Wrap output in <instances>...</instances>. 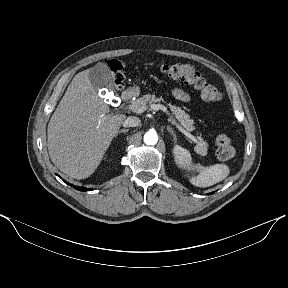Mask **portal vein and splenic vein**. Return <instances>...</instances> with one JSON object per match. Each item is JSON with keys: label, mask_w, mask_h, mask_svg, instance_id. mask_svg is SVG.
Listing matches in <instances>:
<instances>
[{"label": "portal vein and splenic vein", "mask_w": 288, "mask_h": 288, "mask_svg": "<svg viewBox=\"0 0 288 288\" xmlns=\"http://www.w3.org/2000/svg\"><path fill=\"white\" fill-rule=\"evenodd\" d=\"M127 108L133 112H136V113H142L144 112L145 110L143 108H140L137 104L135 103H132L130 105L127 106ZM151 108L153 110H162L163 112H165L169 119L171 120V122L176 125V127L185 135L187 136L190 140H192L193 142L195 143H198L197 139L192 135L190 134L189 132H187L182 126H180L176 120L172 117V115L169 113V111L167 110V108L162 105V104H153L151 106Z\"/></svg>", "instance_id": "obj_1"}]
</instances>
